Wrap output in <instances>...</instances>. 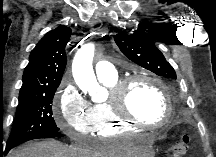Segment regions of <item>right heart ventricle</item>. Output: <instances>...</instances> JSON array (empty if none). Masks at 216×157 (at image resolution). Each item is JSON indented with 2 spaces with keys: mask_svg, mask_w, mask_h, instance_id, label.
Masks as SVG:
<instances>
[{
  "mask_svg": "<svg viewBox=\"0 0 216 157\" xmlns=\"http://www.w3.org/2000/svg\"><path fill=\"white\" fill-rule=\"evenodd\" d=\"M119 80V76L116 75L115 77L102 80L101 82L111 91ZM92 109L95 116L94 132L97 137L108 138L115 135L138 133L131 125L121 121L115 116L110 99L94 103Z\"/></svg>",
  "mask_w": 216,
  "mask_h": 157,
  "instance_id": "right-heart-ventricle-1",
  "label": "right heart ventricle"
}]
</instances>
